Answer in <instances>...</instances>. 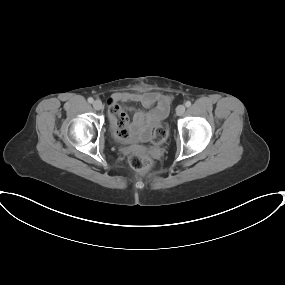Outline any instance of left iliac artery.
Wrapping results in <instances>:
<instances>
[{"label": "left iliac artery", "mask_w": 285, "mask_h": 285, "mask_svg": "<svg viewBox=\"0 0 285 285\" xmlns=\"http://www.w3.org/2000/svg\"><path fill=\"white\" fill-rule=\"evenodd\" d=\"M185 106L186 107H190L191 106V102L190 101H186Z\"/></svg>", "instance_id": "44dca946"}]
</instances>
